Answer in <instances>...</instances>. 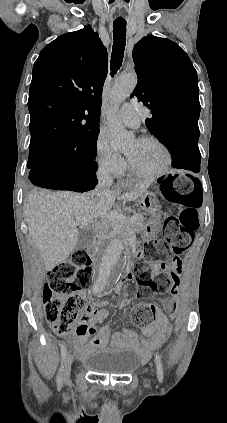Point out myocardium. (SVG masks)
Instances as JSON below:
<instances>
[{
    "label": "myocardium",
    "mask_w": 227,
    "mask_h": 423,
    "mask_svg": "<svg viewBox=\"0 0 227 423\" xmlns=\"http://www.w3.org/2000/svg\"><path fill=\"white\" fill-rule=\"evenodd\" d=\"M136 141L141 142V143H155L158 146H160L165 154V161L163 163V165L161 166L160 169H158L155 172L152 173H143L138 171L135 166L133 165L132 161L129 159V157H127L128 160V164H129V169L131 171L132 174H134L137 177L143 178V179H147V180H156L162 176H164L165 174L168 173V171L171 169V166L173 164V155L172 152L169 148V146L167 145V143L162 140L161 138L155 136V135H144L139 137Z\"/></svg>",
    "instance_id": "1"
}]
</instances>
